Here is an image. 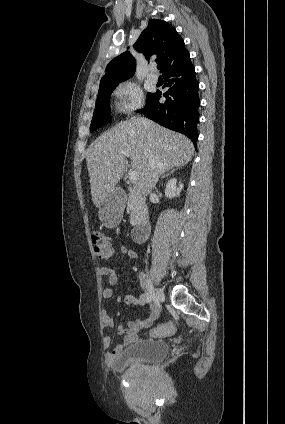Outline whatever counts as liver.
Instances as JSON below:
<instances>
[{
    "label": "liver",
    "instance_id": "6515ba94",
    "mask_svg": "<svg viewBox=\"0 0 285 424\" xmlns=\"http://www.w3.org/2000/svg\"><path fill=\"white\" fill-rule=\"evenodd\" d=\"M122 151L129 154L131 169L139 175V189L148 194L153 188L150 156L157 160L156 169L161 175L186 165L193 156L194 146L184 135L145 118L134 117L118 123L100 135L86 151L91 195L96 207L108 197L124 174L126 161L120 154Z\"/></svg>",
    "mask_w": 285,
    "mask_h": 424
}]
</instances>
